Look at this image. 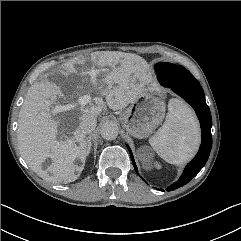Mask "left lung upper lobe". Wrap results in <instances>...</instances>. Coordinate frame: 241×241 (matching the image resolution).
Returning <instances> with one entry per match:
<instances>
[{"instance_id":"obj_1","label":"left lung upper lobe","mask_w":241,"mask_h":241,"mask_svg":"<svg viewBox=\"0 0 241 241\" xmlns=\"http://www.w3.org/2000/svg\"><path fill=\"white\" fill-rule=\"evenodd\" d=\"M157 75L171 85H180L197 81L194 76L184 67L161 62L155 65Z\"/></svg>"}]
</instances>
